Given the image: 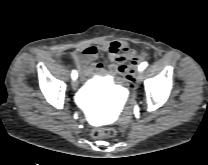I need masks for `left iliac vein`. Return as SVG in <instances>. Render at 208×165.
I'll list each match as a JSON object with an SVG mask.
<instances>
[{
    "mask_svg": "<svg viewBox=\"0 0 208 165\" xmlns=\"http://www.w3.org/2000/svg\"><path fill=\"white\" fill-rule=\"evenodd\" d=\"M143 77H144L143 72H141V71L138 72L137 75H136V80H137V82H138V83L142 82Z\"/></svg>",
    "mask_w": 208,
    "mask_h": 165,
    "instance_id": "4c4485c4",
    "label": "left iliac vein"
}]
</instances>
